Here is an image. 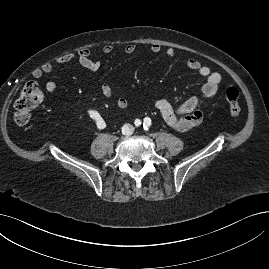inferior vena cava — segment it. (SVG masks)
Listing matches in <instances>:
<instances>
[{
  "label": "inferior vena cava",
  "mask_w": 269,
  "mask_h": 269,
  "mask_svg": "<svg viewBox=\"0 0 269 269\" xmlns=\"http://www.w3.org/2000/svg\"><path fill=\"white\" fill-rule=\"evenodd\" d=\"M125 126H127V125H125ZM130 128H132L131 126H130ZM123 129H124V127H123ZM128 129H129V127H128ZM129 131V130H128ZM124 133H125V131H123Z\"/></svg>",
  "instance_id": "inferior-vena-cava-1"
}]
</instances>
